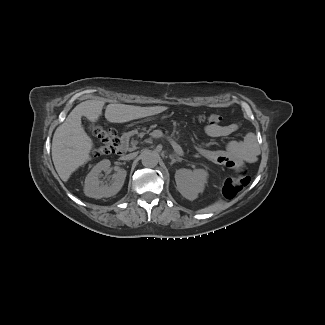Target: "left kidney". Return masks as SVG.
Returning <instances> with one entry per match:
<instances>
[{"mask_svg": "<svg viewBox=\"0 0 325 325\" xmlns=\"http://www.w3.org/2000/svg\"><path fill=\"white\" fill-rule=\"evenodd\" d=\"M208 175L204 169H179L175 173L177 190L184 198L195 200L204 191Z\"/></svg>", "mask_w": 325, "mask_h": 325, "instance_id": "1", "label": "left kidney"}]
</instances>
